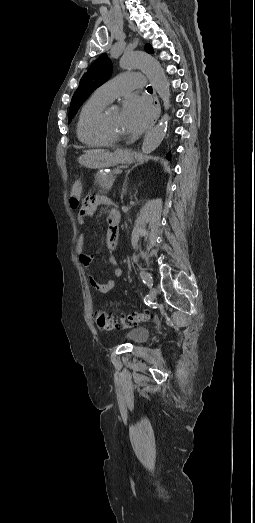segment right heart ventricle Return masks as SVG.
Returning <instances> with one entry per match:
<instances>
[{
	"mask_svg": "<svg viewBox=\"0 0 255 523\" xmlns=\"http://www.w3.org/2000/svg\"><path fill=\"white\" fill-rule=\"evenodd\" d=\"M112 100L96 89L83 103L77 121V135L81 142L90 146H103L110 143L107 139L95 135L89 127L91 117Z\"/></svg>",
	"mask_w": 255,
	"mask_h": 523,
	"instance_id": "e07e8e85",
	"label": "right heart ventricle"
}]
</instances>
